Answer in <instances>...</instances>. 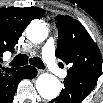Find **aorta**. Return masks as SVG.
Segmentation results:
<instances>
[{"label":"aorta","instance_id":"aorta-1","mask_svg":"<svg viewBox=\"0 0 103 103\" xmlns=\"http://www.w3.org/2000/svg\"><path fill=\"white\" fill-rule=\"evenodd\" d=\"M26 36L32 43H42L48 36V28L41 21H32L26 28ZM36 89L44 99H54L60 93V81L52 74H42L36 80Z\"/></svg>","mask_w":103,"mask_h":103}]
</instances>
